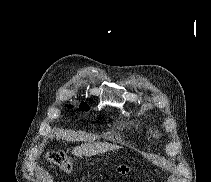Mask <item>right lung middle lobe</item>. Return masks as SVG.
<instances>
[{
  "label": "right lung middle lobe",
  "instance_id": "right-lung-middle-lobe-1",
  "mask_svg": "<svg viewBox=\"0 0 211 182\" xmlns=\"http://www.w3.org/2000/svg\"><path fill=\"white\" fill-rule=\"evenodd\" d=\"M68 107L69 108H72L73 106L72 105H68ZM79 108L82 111H88L90 109L89 106L86 103H84V102L81 103V105L79 106Z\"/></svg>",
  "mask_w": 211,
  "mask_h": 182
}]
</instances>
